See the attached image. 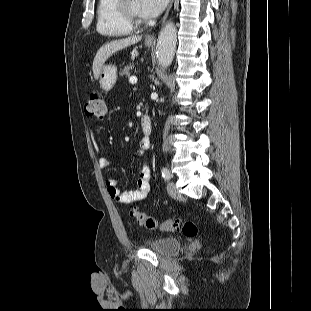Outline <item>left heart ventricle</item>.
Masks as SVG:
<instances>
[{
	"label": "left heart ventricle",
	"instance_id": "1",
	"mask_svg": "<svg viewBox=\"0 0 311 311\" xmlns=\"http://www.w3.org/2000/svg\"><path fill=\"white\" fill-rule=\"evenodd\" d=\"M128 5L135 15L140 16V0H129Z\"/></svg>",
	"mask_w": 311,
	"mask_h": 311
}]
</instances>
